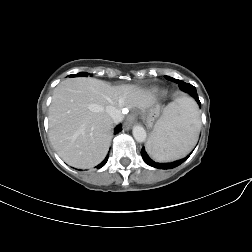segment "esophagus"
<instances>
[{"label":"esophagus","mask_w":252,"mask_h":252,"mask_svg":"<svg viewBox=\"0 0 252 252\" xmlns=\"http://www.w3.org/2000/svg\"><path fill=\"white\" fill-rule=\"evenodd\" d=\"M134 121H135L134 115H129V116L127 117V119L125 120V123H124L125 129H126V130H129V129L133 126Z\"/></svg>","instance_id":"obj_1"}]
</instances>
